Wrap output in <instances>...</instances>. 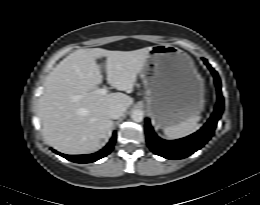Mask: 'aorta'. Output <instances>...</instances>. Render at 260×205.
<instances>
[{"instance_id": "1", "label": "aorta", "mask_w": 260, "mask_h": 205, "mask_svg": "<svg viewBox=\"0 0 260 205\" xmlns=\"http://www.w3.org/2000/svg\"><path fill=\"white\" fill-rule=\"evenodd\" d=\"M144 113L142 110L135 109L131 113V118L135 122H141L143 120Z\"/></svg>"}]
</instances>
